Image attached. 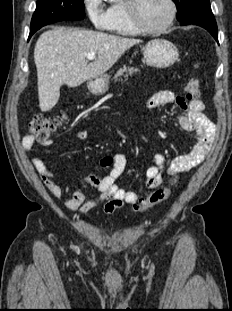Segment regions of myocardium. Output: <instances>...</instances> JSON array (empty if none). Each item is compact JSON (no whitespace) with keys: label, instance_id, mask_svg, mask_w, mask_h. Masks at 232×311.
Instances as JSON below:
<instances>
[{"label":"myocardium","instance_id":"1","mask_svg":"<svg viewBox=\"0 0 232 311\" xmlns=\"http://www.w3.org/2000/svg\"><path fill=\"white\" fill-rule=\"evenodd\" d=\"M170 7V14L168 19L160 26L151 28L145 26L138 15V3L139 0H125V8L127 15L132 26L139 32L143 34H156L167 30L175 21L177 15V6L174 0H167Z\"/></svg>","mask_w":232,"mask_h":311}]
</instances>
